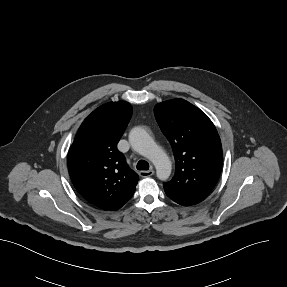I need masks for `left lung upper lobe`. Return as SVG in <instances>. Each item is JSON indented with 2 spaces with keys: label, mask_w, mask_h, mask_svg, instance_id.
<instances>
[{
  "label": "left lung upper lobe",
  "mask_w": 287,
  "mask_h": 287,
  "mask_svg": "<svg viewBox=\"0 0 287 287\" xmlns=\"http://www.w3.org/2000/svg\"><path fill=\"white\" fill-rule=\"evenodd\" d=\"M154 113L176 163L174 177L163 184L165 193L176 200L201 202L215 187L222 168V146L214 124L183 99L159 103Z\"/></svg>",
  "instance_id": "left-lung-upper-lobe-1"
}]
</instances>
